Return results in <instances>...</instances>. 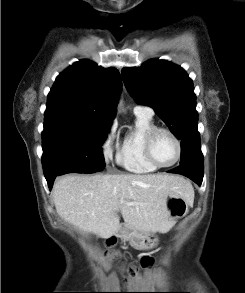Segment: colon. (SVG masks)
Masks as SVG:
<instances>
[{
  "instance_id": "1",
  "label": "colon",
  "mask_w": 245,
  "mask_h": 293,
  "mask_svg": "<svg viewBox=\"0 0 245 293\" xmlns=\"http://www.w3.org/2000/svg\"><path fill=\"white\" fill-rule=\"evenodd\" d=\"M115 243H116V239L113 237L107 239V241H106V245L109 247L113 246ZM114 257H115V259H118L117 255ZM150 262H151V259L149 257H144L141 260L142 265H148ZM129 271L132 275H135V273L137 272V268L135 266H132V267H130Z\"/></svg>"
}]
</instances>
